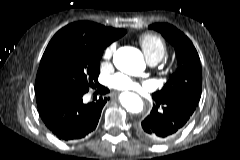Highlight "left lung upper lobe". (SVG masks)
<instances>
[{
  "instance_id": "5c2ea615",
  "label": "left lung upper lobe",
  "mask_w": 240,
  "mask_h": 160,
  "mask_svg": "<svg viewBox=\"0 0 240 160\" xmlns=\"http://www.w3.org/2000/svg\"><path fill=\"white\" fill-rule=\"evenodd\" d=\"M150 29L159 31L175 48L178 68L162 90L153 93L155 100H179L197 106L202 90L200 58L190 39L176 27L156 23Z\"/></svg>"
}]
</instances>
